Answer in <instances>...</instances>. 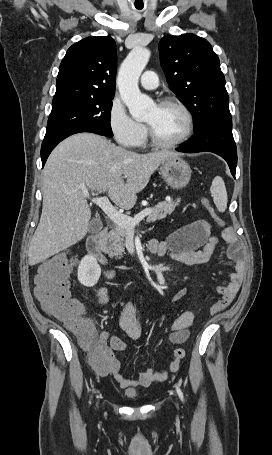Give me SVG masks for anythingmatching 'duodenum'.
Masks as SVG:
<instances>
[{
    "label": "duodenum",
    "instance_id": "obj_1",
    "mask_svg": "<svg viewBox=\"0 0 272 455\" xmlns=\"http://www.w3.org/2000/svg\"><path fill=\"white\" fill-rule=\"evenodd\" d=\"M108 234V228L103 227L99 231L90 235L86 241L87 251L98 259L102 264L109 266V257L105 250V241Z\"/></svg>",
    "mask_w": 272,
    "mask_h": 455
}]
</instances>
